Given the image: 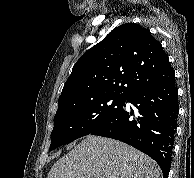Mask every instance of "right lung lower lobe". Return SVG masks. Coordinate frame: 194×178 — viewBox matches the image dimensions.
I'll return each instance as SVG.
<instances>
[{"label":"right lung lower lobe","instance_id":"right-lung-lower-lobe-1","mask_svg":"<svg viewBox=\"0 0 194 178\" xmlns=\"http://www.w3.org/2000/svg\"><path fill=\"white\" fill-rule=\"evenodd\" d=\"M127 102L132 103L140 115L134 116V111L126 110L124 104L88 135L113 138L137 148L153 158L167 178L179 111L175 74L165 81L136 90Z\"/></svg>","mask_w":194,"mask_h":178}]
</instances>
